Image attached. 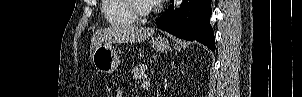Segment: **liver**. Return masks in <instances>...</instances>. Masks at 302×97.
I'll use <instances>...</instances> for the list:
<instances>
[{
  "instance_id": "1",
  "label": "liver",
  "mask_w": 302,
  "mask_h": 97,
  "mask_svg": "<svg viewBox=\"0 0 302 97\" xmlns=\"http://www.w3.org/2000/svg\"><path fill=\"white\" fill-rule=\"evenodd\" d=\"M154 34V29L145 28L138 25L111 26L106 29L97 30L91 39V55L98 44L115 42L118 43H140L150 38Z\"/></svg>"
}]
</instances>
